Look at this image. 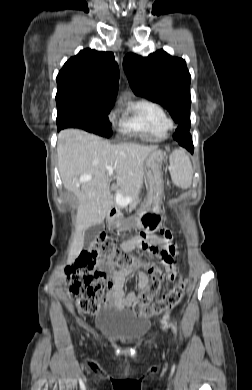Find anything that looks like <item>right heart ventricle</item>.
Here are the masks:
<instances>
[{
	"mask_svg": "<svg viewBox=\"0 0 252 390\" xmlns=\"http://www.w3.org/2000/svg\"><path fill=\"white\" fill-rule=\"evenodd\" d=\"M124 117L121 130L136 134L149 140H159L167 136L170 121L164 109L149 100H138L129 103L123 109Z\"/></svg>",
	"mask_w": 252,
	"mask_h": 390,
	"instance_id": "obj_1",
	"label": "right heart ventricle"
}]
</instances>
